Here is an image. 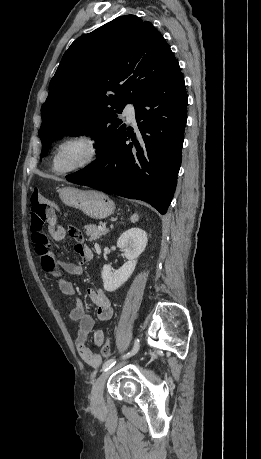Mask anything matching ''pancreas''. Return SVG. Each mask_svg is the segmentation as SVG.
<instances>
[{
    "label": "pancreas",
    "instance_id": "cf45deb5",
    "mask_svg": "<svg viewBox=\"0 0 261 459\" xmlns=\"http://www.w3.org/2000/svg\"><path fill=\"white\" fill-rule=\"evenodd\" d=\"M84 229L86 230V235L89 237L90 241L97 240L106 235L108 232L98 229L96 225H86L84 226Z\"/></svg>",
    "mask_w": 261,
    "mask_h": 459
}]
</instances>
